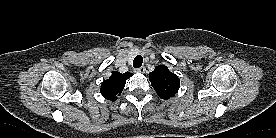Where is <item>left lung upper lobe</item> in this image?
<instances>
[{
	"mask_svg": "<svg viewBox=\"0 0 276 138\" xmlns=\"http://www.w3.org/2000/svg\"><path fill=\"white\" fill-rule=\"evenodd\" d=\"M151 85L162 99L173 97L180 87L178 76L169 71L164 65L156 66L154 71L149 74Z\"/></svg>",
	"mask_w": 276,
	"mask_h": 138,
	"instance_id": "5c2ea615",
	"label": "left lung upper lobe"
}]
</instances>
